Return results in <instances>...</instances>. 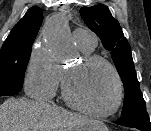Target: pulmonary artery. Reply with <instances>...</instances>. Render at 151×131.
Segmentation results:
<instances>
[{"instance_id":"1","label":"pulmonary artery","mask_w":151,"mask_h":131,"mask_svg":"<svg viewBox=\"0 0 151 131\" xmlns=\"http://www.w3.org/2000/svg\"><path fill=\"white\" fill-rule=\"evenodd\" d=\"M73 38L79 46L87 49H94L97 43V38L90 30L78 28L73 31Z\"/></svg>"}]
</instances>
